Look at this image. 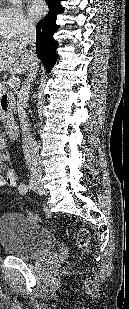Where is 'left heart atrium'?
<instances>
[{
    "instance_id": "39dd6f15",
    "label": "left heart atrium",
    "mask_w": 129,
    "mask_h": 309,
    "mask_svg": "<svg viewBox=\"0 0 129 309\" xmlns=\"http://www.w3.org/2000/svg\"><path fill=\"white\" fill-rule=\"evenodd\" d=\"M45 10L46 8L42 0L30 1L29 6H28V11H29V15L33 19L40 18L45 13Z\"/></svg>"
}]
</instances>
